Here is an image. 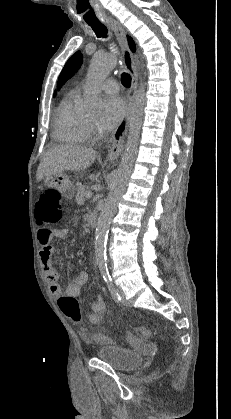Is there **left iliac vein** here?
<instances>
[{"label": "left iliac vein", "instance_id": "obj_1", "mask_svg": "<svg viewBox=\"0 0 231 419\" xmlns=\"http://www.w3.org/2000/svg\"><path fill=\"white\" fill-rule=\"evenodd\" d=\"M119 294L121 296V302H122V304H124L125 306H128L129 305V302L126 300L125 294L122 292V290H119Z\"/></svg>", "mask_w": 231, "mask_h": 419}]
</instances>
